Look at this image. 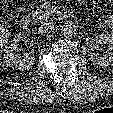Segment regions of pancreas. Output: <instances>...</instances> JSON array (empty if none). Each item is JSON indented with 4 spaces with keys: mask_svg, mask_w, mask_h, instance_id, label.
Segmentation results:
<instances>
[{
    "mask_svg": "<svg viewBox=\"0 0 113 113\" xmlns=\"http://www.w3.org/2000/svg\"><path fill=\"white\" fill-rule=\"evenodd\" d=\"M49 15H51V12L49 10L43 12L40 8H37V10L32 13V17L35 22H41L45 19H48Z\"/></svg>",
    "mask_w": 113,
    "mask_h": 113,
    "instance_id": "obj_1",
    "label": "pancreas"
}]
</instances>
